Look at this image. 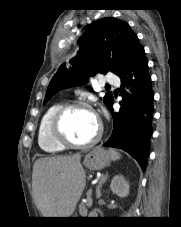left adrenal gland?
I'll use <instances>...</instances> for the list:
<instances>
[{"label": "left adrenal gland", "instance_id": "1", "mask_svg": "<svg viewBox=\"0 0 181 227\" xmlns=\"http://www.w3.org/2000/svg\"><path fill=\"white\" fill-rule=\"evenodd\" d=\"M107 178H108V172L106 174H103L100 178V181L96 188L97 199L101 198V188H102V185L106 182Z\"/></svg>", "mask_w": 181, "mask_h": 227}]
</instances>
